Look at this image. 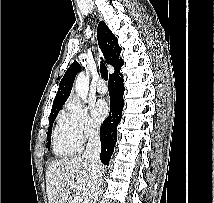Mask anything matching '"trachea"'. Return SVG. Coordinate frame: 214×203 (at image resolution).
Listing matches in <instances>:
<instances>
[{
  "label": "trachea",
  "mask_w": 214,
  "mask_h": 203,
  "mask_svg": "<svg viewBox=\"0 0 214 203\" xmlns=\"http://www.w3.org/2000/svg\"><path fill=\"white\" fill-rule=\"evenodd\" d=\"M100 73L102 78L107 81L108 80V70L103 62L100 64Z\"/></svg>",
  "instance_id": "trachea-1"
}]
</instances>
